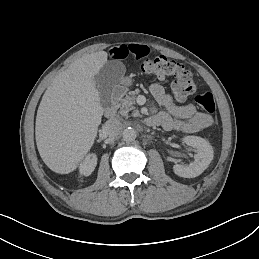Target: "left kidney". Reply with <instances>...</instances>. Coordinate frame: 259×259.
Instances as JSON below:
<instances>
[{
    "label": "left kidney",
    "mask_w": 259,
    "mask_h": 259,
    "mask_svg": "<svg viewBox=\"0 0 259 259\" xmlns=\"http://www.w3.org/2000/svg\"><path fill=\"white\" fill-rule=\"evenodd\" d=\"M183 142L198 149L194 156L195 161L188 166L174 165V173L184 178H194L199 176L213 160V148L208 141L198 136H185Z\"/></svg>",
    "instance_id": "left-kidney-1"
}]
</instances>
